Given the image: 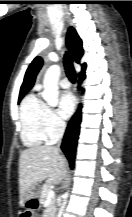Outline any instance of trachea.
<instances>
[{
  "label": "trachea",
  "instance_id": "1",
  "mask_svg": "<svg viewBox=\"0 0 132 217\" xmlns=\"http://www.w3.org/2000/svg\"><path fill=\"white\" fill-rule=\"evenodd\" d=\"M64 67H65L66 75L69 78V80L72 83H75V81H76V73H75V69H74V66H73V59H72V57L70 56L69 53H66L64 55Z\"/></svg>",
  "mask_w": 132,
  "mask_h": 217
}]
</instances>
